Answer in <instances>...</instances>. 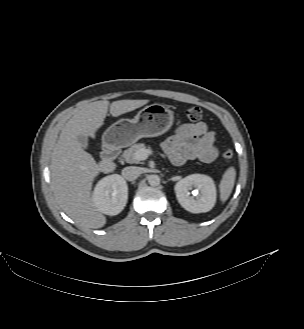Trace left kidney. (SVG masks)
I'll list each match as a JSON object with an SVG mask.
<instances>
[{"label": "left kidney", "mask_w": 304, "mask_h": 329, "mask_svg": "<svg viewBox=\"0 0 304 329\" xmlns=\"http://www.w3.org/2000/svg\"><path fill=\"white\" fill-rule=\"evenodd\" d=\"M195 187L199 196L190 195ZM180 205L191 213L210 211L216 202V187L211 177L203 174H191L178 181L174 187Z\"/></svg>", "instance_id": "5707ae66"}]
</instances>
